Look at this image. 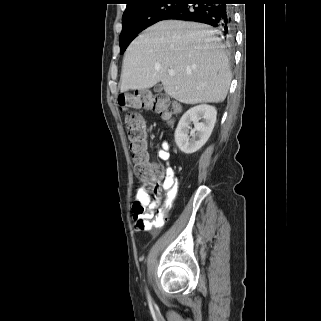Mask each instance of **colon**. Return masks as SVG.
<instances>
[{"label":"colon","instance_id":"5ec220e1","mask_svg":"<svg viewBox=\"0 0 321 321\" xmlns=\"http://www.w3.org/2000/svg\"><path fill=\"white\" fill-rule=\"evenodd\" d=\"M119 106L123 110L146 109L158 113L163 119L169 120L177 113L178 105L167 97L151 96L146 92L125 95L119 98ZM130 148L133 153L134 172L147 190L157 191V180L161 173L160 165L152 161L147 152V132L143 117L137 112H128L125 118ZM136 212H143L139 204L134 206ZM169 209L162 208L160 213L167 217Z\"/></svg>","mask_w":321,"mask_h":321}]
</instances>
